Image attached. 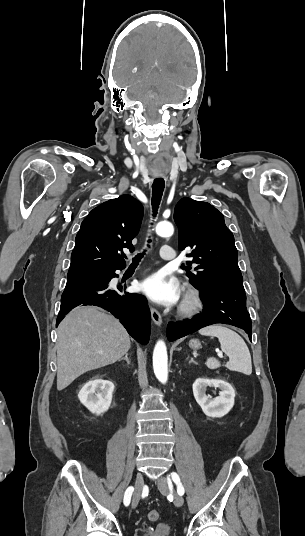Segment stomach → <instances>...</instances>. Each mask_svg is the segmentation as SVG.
Instances as JSON below:
<instances>
[{
	"label": "stomach",
	"mask_w": 305,
	"mask_h": 536,
	"mask_svg": "<svg viewBox=\"0 0 305 536\" xmlns=\"http://www.w3.org/2000/svg\"><path fill=\"white\" fill-rule=\"evenodd\" d=\"M189 346L192 348V350H200L201 348L199 340H190Z\"/></svg>",
	"instance_id": "0dacf381"
}]
</instances>
